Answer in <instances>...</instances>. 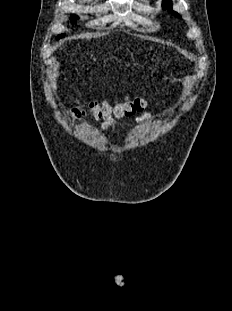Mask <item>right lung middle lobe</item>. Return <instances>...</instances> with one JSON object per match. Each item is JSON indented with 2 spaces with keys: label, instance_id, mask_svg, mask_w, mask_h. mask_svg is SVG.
<instances>
[{
  "label": "right lung middle lobe",
  "instance_id": "obj_1",
  "mask_svg": "<svg viewBox=\"0 0 232 311\" xmlns=\"http://www.w3.org/2000/svg\"><path fill=\"white\" fill-rule=\"evenodd\" d=\"M77 18H78V17H77L76 15H73V16L70 18V20H71L72 23H75ZM64 36H65L64 34H60V35L57 36V39L62 38V37H64Z\"/></svg>",
  "mask_w": 232,
  "mask_h": 311
}]
</instances>
